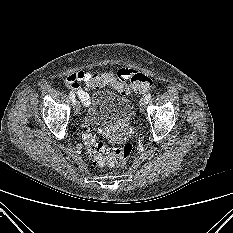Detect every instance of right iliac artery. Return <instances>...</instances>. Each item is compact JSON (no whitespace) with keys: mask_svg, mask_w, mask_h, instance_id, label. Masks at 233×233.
<instances>
[{"mask_svg":"<svg viewBox=\"0 0 233 233\" xmlns=\"http://www.w3.org/2000/svg\"><path fill=\"white\" fill-rule=\"evenodd\" d=\"M69 95H70V98H71L72 102L74 103L75 102V95H74V93L70 92Z\"/></svg>","mask_w":233,"mask_h":233,"instance_id":"1","label":"right iliac artery"}]
</instances>
